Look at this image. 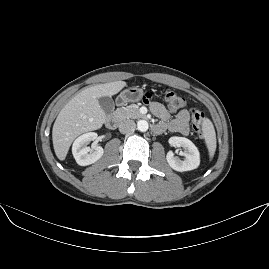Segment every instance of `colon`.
<instances>
[{
  "label": "colon",
  "instance_id": "1",
  "mask_svg": "<svg viewBox=\"0 0 269 269\" xmlns=\"http://www.w3.org/2000/svg\"><path fill=\"white\" fill-rule=\"evenodd\" d=\"M165 105L171 111H178L184 106L185 99L178 93L173 91L164 92ZM204 113L199 109H192L191 111V126L199 135L202 134Z\"/></svg>",
  "mask_w": 269,
  "mask_h": 269
}]
</instances>
